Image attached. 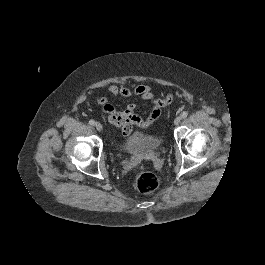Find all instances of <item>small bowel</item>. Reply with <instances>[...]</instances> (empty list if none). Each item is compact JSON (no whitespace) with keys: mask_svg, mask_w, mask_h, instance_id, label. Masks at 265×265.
Listing matches in <instances>:
<instances>
[{"mask_svg":"<svg viewBox=\"0 0 265 265\" xmlns=\"http://www.w3.org/2000/svg\"><path fill=\"white\" fill-rule=\"evenodd\" d=\"M107 90L114 97H139L142 100L150 101L152 103V110L148 117L142 118L136 112V105L128 104L124 109L117 110L111 101L102 97L96 101L99 109L107 115L109 123L120 127L122 130L127 129L132 131L134 126L148 127L150 126L161 114L162 109L168 105L166 97L155 98L152 88L144 84H132L130 87L120 85H109Z\"/></svg>","mask_w":265,"mask_h":265,"instance_id":"obj_1","label":"small bowel"}]
</instances>
